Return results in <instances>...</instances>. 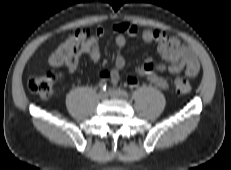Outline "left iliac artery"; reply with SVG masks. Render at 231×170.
Wrapping results in <instances>:
<instances>
[{
  "instance_id": "1",
  "label": "left iliac artery",
  "mask_w": 231,
  "mask_h": 170,
  "mask_svg": "<svg viewBox=\"0 0 231 170\" xmlns=\"http://www.w3.org/2000/svg\"><path fill=\"white\" fill-rule=\"evenodd\" d=\"M119 93L124 97L128 96V92L123 88H119Z\"/></svg>"
}]
</instances>
